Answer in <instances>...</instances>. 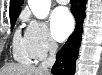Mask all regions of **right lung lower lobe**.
Wrapping results in <instances>:
<instances>
[{"label":"right lung lower lobe","mask_w":102,"mask_h":75,"mask_svg":"<svg viewBox=\"0 0 102 75\" xmlns=\"http://www.w3.org/2000/svg\"><path fill=\"white\" fill-rule=\"evenodd\" d=\"M86 2V0H71V12L75 17L76 27L68 41L56 55V62L51 70L53 75H73L75 72V62L81 44Z\"/></svg>","instance_id":"obj_1"}]
</instances>
